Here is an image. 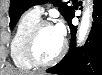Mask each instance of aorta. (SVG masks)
I'll use <instances>...</instances> for the list:
<instances>
[{
	"label": "aorta",
	"mask_w": 102,
	"mask_h": 75,
	"mask_svg": "<svg viewBox=\"0 0 102 75\" xmlns=\"http://www.w3.org/2000/svg\"><path fill=\"white\" fill-rule=\"evenodd\" d=\"M91 5H88L82 15V19H81V23H80V27L78 29V43L82 44L85 40L86 37L88 35L89 32V28L91 26V14H92V1Z\"/></svg>",
	"instance_id": "1"
}]
</instances>
